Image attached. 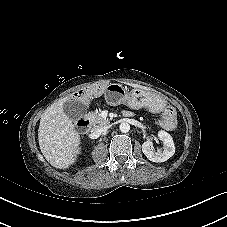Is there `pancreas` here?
<instances>
[{"mask_svg":"<svg viewBox=\"0 0 227 227\" xmlns=\"http://www.w3.org/2000/svg\"><path fill=\"white\" fill-rule=\"evenodd\" d=\"M88 117L95 128L103 127L109 124V120L102 118L98 112H90Z\"/></svg>","mask_w":227,"mask_h":227,"instance_id":"1","label":"pancreas"}]
</instances>
